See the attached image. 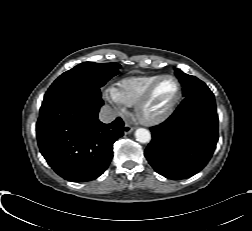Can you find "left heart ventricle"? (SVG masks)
Listing matches in <instances>:
<instances>
[{"instance_id": "b2bd125f", "label": "left heart ventricle", "mask_w": 252, "mask_h": 231, "mask_svg": "<svg viewBox=\"0 0 252 231\" xmlns=\"http://www.w3.org/2000/svg\"><path fill=\"white\" fill-rule=\"evenodd\" d=\"M177 85L174 80L166 78L160 82L147 106L145 113L149 116L163 112L174 99Z\"/></svg>"}]
</instances>
